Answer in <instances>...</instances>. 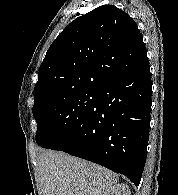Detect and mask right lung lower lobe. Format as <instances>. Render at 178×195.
Instances as JSON below:
<instances>
[{
    "label": "right lung lower lobe",
    "mask_w": 178,
    "mask_h": 195,
    "mask_svg": "<svg viewBox=\"0 0 178 195\" xmlns=\"http://www.w3.org/2000/svg\"><path fill=\"white\" fill-rule=\"evenodd\" d=\"M151 92L149 63L107 83L54 150L100 164L139 185L149 139Z\"/></svg>",
    "instance_id": "obj_1"
}]
</instances>
